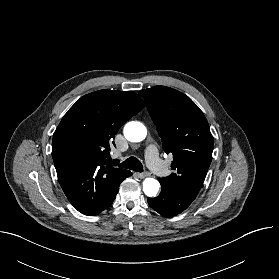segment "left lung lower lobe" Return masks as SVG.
I'll use <instances>...</instances> for the list:
<instances>
[{"label": "left lung lower lobe", "instance_id": "1", "mask_svg": "<svg viewBox=\"0 0 279 279\" xmlns=\"http://www.w3.org/2000/svg\"><path fill=\"white\" fill-rule=\"evenodd\" d=\"M161 193L155 198H148V204L155 211L164 217L178 215L184 211L196 198L195 195L171 189L168 185L159 180Z\"/></svg>", "mask_w": 279, "mask_h": 279}]
</instances>
